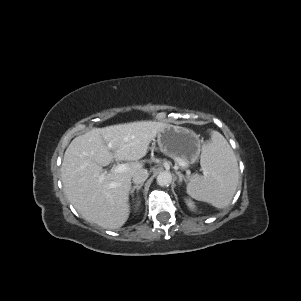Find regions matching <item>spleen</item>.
I'll return each mask as SVG.
<instances>
[{
	"label": "spleen",
	"mask_w": 301,
	"mask_h": 301,
	"mask_svg": "<svg viewBox=\"0 0 301 301\" xmlns=\"http://www.w3.org/2000/svg\"><path fill=\"white\" fill-rule=\"evenodd\" d=\"M200 164L203 176L195 175L187 185V193L193 199L225 208L232 200L238 180V164L233 150L218 132L202 147Z\"/></svg>",
	"instance_id": "1"
}]
</instances>
